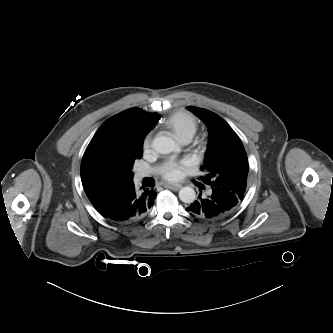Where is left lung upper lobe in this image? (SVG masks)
Masks as SVG:
<instances>
[{
	"instance_id": "5c2ea615",
	"label": "left lung upper lobe",
	"mask_w": 333,
	"mask_h": 333,
	"mask_svg": "<svg viewBox=\"0 0 333 333\" xmlns=\"http://www.w3.org/2000/svg\"><path fill=\"white\" fill-rule=\"evenodd\" d=\"M187 109L209 128V141L201 170V180L210 187L230 190L241 202L246 193L248 159L243 144L233 129L217 114L194 106Z\"/></svg>"
}]
</instances>
